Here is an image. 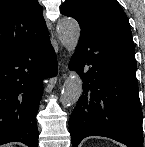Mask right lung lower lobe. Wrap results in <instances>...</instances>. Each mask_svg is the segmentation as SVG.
<instances>
[{
    "label": "right lung lower lobe",
    "instance_id": "obj_1",
    "mask_svg": "<svg viewBox=\"0 0 145 147\" xmlns=\"http://www.w3.org/2000/svg\"><path fill=\"white\" fill-rule=\"evenodd\" d=\"M49 35L0 58V145H38L36 112L42 80L57 74Z\"/></svg>",
    "mask_w": 145,
    "mask_h": 147
}]
</instances>
